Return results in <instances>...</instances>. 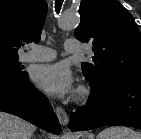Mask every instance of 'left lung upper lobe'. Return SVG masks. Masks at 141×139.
Returning <instances> with one entry per match:
<instances>
[{
  "mask_svg": "<svg viewBox=\"0 0 141 139\" xmlns=\"http://www.w3.org/2000/svg\"><path fill=\"white\" fill-rule=\"evenodd\" d=\"M75 37L92 42L94 63H82L92 85L113 75L141 77V38L133 16L116 0H81Z\"/></svg>",
  "mask_w": 141,
  "mask_h": 139,
  "instance_id": "obj_1",
  "label": "left lung upper lobe"
}]
</instances>
